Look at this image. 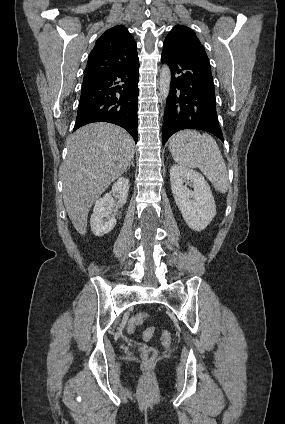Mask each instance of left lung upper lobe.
<instances>
[{
  "instance_id": "5c2ea615",
  "label": "left lung upper lobe",
  "mask_w": 285,
  "mask_h": 424,
  "mask_svg": "<svg viewBox=\"0 0 285 424\" xmlns=\"http://www.w3.org/2000/svg\"><path fill=\"white\" fill-rule=\"evenodd\" d=\"M165 41L174 42L183 47L203 48L195 33L190 28L182 25L174 26Z\"/></svg>"
}]
</instances>
